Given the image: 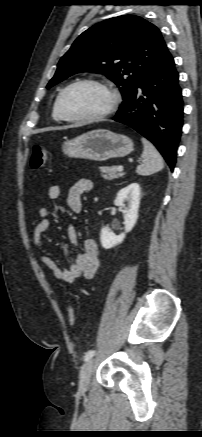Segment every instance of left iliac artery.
I'll return each mask as SVG.
<instances>
[{"mask_svg":"<svg viewBox=\"0 0 202 437\" xmlns=\"http://www.w3.org/2000/svg\"><path fill=\"white\" fill-rule=\"evenodd\" d=\"M95 350L88 351L84 356V361L90 360L95 355Z\"/></svg>","mask_w":202,"mask_h":437,"instance_id":"44dca946","label":"left iliac artery"}]
</instances>
